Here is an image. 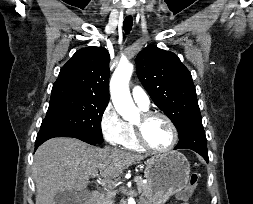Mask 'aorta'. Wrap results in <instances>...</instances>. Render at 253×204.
Listing matches in <instances>:
<instances>
[{
    "label": "aorta",
    "instance_id": "obj_1",
    "mask_svg": "<svg viewBox=\"0 0 253 204\" xmlns=\"http://www.w3.org/2000/svg\"><path fill=\"white\" fill-rule=\"evenodd\" d=\"M133 72V65L129 62H120L114 71L110 90L111 98L116 111L127 121H132L139 116L129 91V80ZM128 204H136L133 198L128 199Z\"/></svg>",
    "mask_w": 253,
    "mask_h": 204
}]
</instances>
